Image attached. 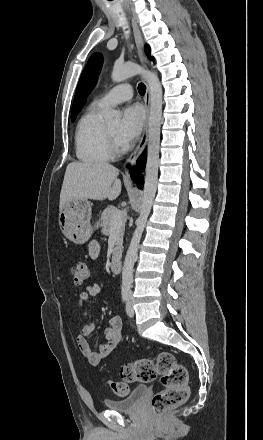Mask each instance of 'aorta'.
<instances>
[{"instance_id": "1", "label": "aorta", "mask_w": 263, "mask_h": 440, "mask_svg": "<svg viewBox=\"0 0 263 440\" xmlns=\"http://www.w3.org/2000/svg\"><path fill=\"white\" fill-rule=\"evenodd\" d=\"M142 75L146 80L150 90V115L148 129V147L146 175L140 215L137 219L136 229L133 233L129 248L127 250L123 270L122 285L130 286L133 280V267L139 248L142 233L144 231L148 216L150 214L153 201L157 191L159 149H160V129L162 121V86L156 74L144 70L138 64L116 63L113 67L111 78L114 82H122L132 76ZM104 118L109 123L119 121L120 114L115 110L104 112Z\"/></svg>"}]
</instances>
